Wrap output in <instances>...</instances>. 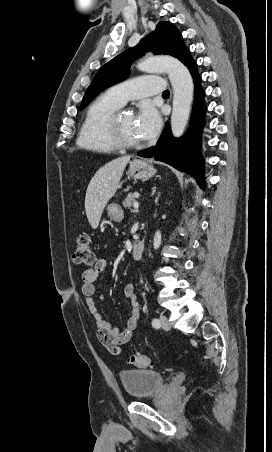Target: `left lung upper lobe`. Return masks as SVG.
<instances>
[{
	"mask_svg": "<svg viewBox=\"0 0 272 452\" xmlns=\"http://www.w3.org/2000/svg\"><path fill=\"white\" fill-rule=\"evenodd\" d=\"M148 51L156 55H171L181 61L189 50L173 24L159 22L156 30L137 46L119 54L100 68L84 95L80 109L87 106L101 91L126 79L129 76L130 64Z\"/></svg>",
	"mask_w": 272,
	"mask_h": 452,
	"instance_id": "1",
	"label": "left lung upper lobe"
}]
</instances>
